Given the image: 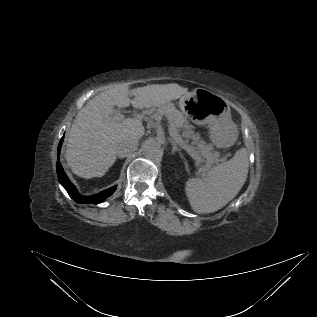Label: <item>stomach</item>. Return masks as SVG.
I'll return each mask as SVG.
<instances>
[{
    "label": "stomach",
    "instance_id": "stomach-1",
    "mask_svg": "<svg viewBox=\"0 0 317 317\" xmlns=\"http://www.w3.org/2000/svg\"><path fill=\"white\" fill-rule=\"evenodd\" d=\"M182 112L197 123L209 125L213 142L219 147H230L238 138V129L231 119L227 100L204 88H196L180 98ZM199 113L202 118H199Z\"/></svg>",
    "mask_w": 317,
    "mask_h": 317
}]
</instances>
